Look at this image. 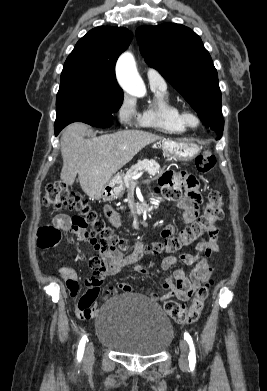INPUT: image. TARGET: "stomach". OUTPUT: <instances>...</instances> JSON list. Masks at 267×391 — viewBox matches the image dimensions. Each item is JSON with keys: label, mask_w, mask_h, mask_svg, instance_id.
<instances>
[{"label": "stomach", "mask_w": 267, "mask_h": 391, "mask_svg": "<svg viewBox=\"0 0 267 391\" xmlns=\"http://www.w3.org/2000/svg\"><path fill=\"white\" fill-rule=\"evenodd\" d=\"M163 155L166 161L178 162L194 158L200 151L197 144L189 141H171L163 140ZM123 173L112 177L102 188L100 198L109 200L121 196L124 192Z\"/></svg>", "instance_id": "1"}]
</instances>
